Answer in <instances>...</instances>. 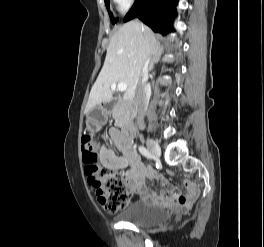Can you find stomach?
I'll return each instance as SVG.
<instances>
[{"instance_id": "stomach-1", "label": "stomach", "mask_w": 264, "mask_h": 247, "mask_svg": "<svg viewBox=\"0 0 264 247\" xmlns=\"http://www.w3.org/2000/svg\"><path fill=\"white\" fill-rule=\"evenodd\" d=\"M108 117V111L101 104L96 105L87 115L88 125H103Z\"/></svg>"}]
</instances>
